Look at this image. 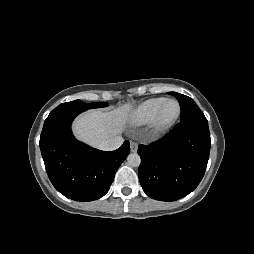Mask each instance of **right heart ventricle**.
I'll list each match as a JSON object with an SVG mask.
<instances>
[{
	"mask_svg": "<svg viewBox=\"0 0 254 254\" xmlns=\"http://www.w3.org/2000/svg\"><path fill=\"white\" fill-rule=\"evenodd\" d=\"M165 98H151L139 104L129 115V122L134 126H143L152 121Z\"/></svg>",
	"mask_w": 254,
	"mask_h": 254,
	"instance_id": "e07e8e85",
	"label": "right heart ventricle"
}]
</instances>
